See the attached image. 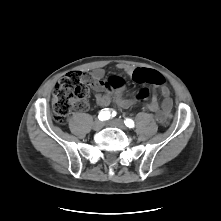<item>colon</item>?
<instances>
[{
    "mask_svg": "<svg viewBox=\"0 0 221 221\" xmlns=\"http://www.w3.org/2000/svg\"><path fill=\"white\" fill-rule=\"evenodd\" d=\"M133 80H144L146 83L161 86L165 83L163 75L155 70L137 69L132 75ZM90 87L82 74L70 72L66 74L57 84L53 99L52 108L56 122L63 124L75 105L88 97ZM150 95L148 87H141L136 92V99L146 100Z\"/></svg>",
    "mask_w": 221,
    "mask_h": 221,
    "instance_id": "colon-1",
    "label": "colon"
}]
</instances>
